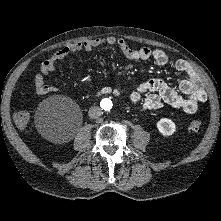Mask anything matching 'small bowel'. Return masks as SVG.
<instances>
[{
  "mask_svg": "<svg viewBox=\"0 0 221 221\" xmlns=\"http://www.w3.org/2000/svg\"><path fill=\"white\" fill-rule=\"evenodd\" d=\"M104 46H117L122 55L131 61L152 59L159 66H165L169 62L168 55L161 49H150L148 47L132 48L124 39H117L113 36L79 41L64 46L42 62L40 72L34 78L36 93L38 95H45L58 90L56 86L45 82V76L56 69L59 61L73 53L92 51ZM175 68L186 76L180 82L178 91L170 87L162 79L153 78L142 83L131 92L130 99L132 103L139 105L142 110H155L164 105H169L173 108L181 109L188 114L196 112L198 105L207 98L202 82L187 61L177 60Z\"/></svg>",
  "mask_w": 221,
  "mask_h": 221,
  "instance_id": "obj_1",
  "label": "small bowel"
}]
</instances>
